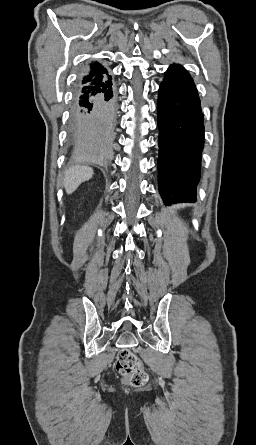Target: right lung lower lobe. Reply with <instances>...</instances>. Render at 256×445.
Instances as JSON below:
<instances>
[{
  "instance_id": "right-lung-lower-lobe-1",
  "label": "right lung lower lobe",
  "mask_w": 256,
  "mask_h": 445,
  "mask_svg": "<svg viewBox=\"0 0 256 445\" xmlns=\"http://www.w3.org/2000/svg\"><path fill=\"white\" fill-rule=\"evenodd\" d=\"M115 108L111 76L98 85L77 88L72 126L75 158L101 164L111 159Z\"/></svg>"
}]
</instances>
